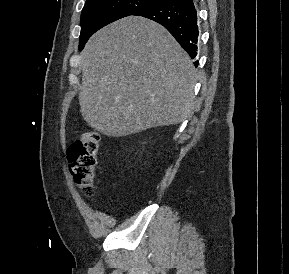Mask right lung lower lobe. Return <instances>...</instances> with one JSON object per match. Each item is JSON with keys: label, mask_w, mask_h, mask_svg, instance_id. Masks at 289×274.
Returning <instances> with one entry per match:
<instances>
[{"label": "right lung lower lobe", "mask_w": 289, "mask_h": 274, "mask_svg": "<svg viewBox=\"0 0 289 274\" xmlns=\"http://www.w3.org/2000/svg\"><path fill=\"white\" fill-rule=\"evenodd\" d=\"M163 25L193 59L197 55L198 25L193 0H160L136 12ZM198 61L195 62V66Z\"/></svg>", "instance_id": "98d812e1"}]
</instances>
